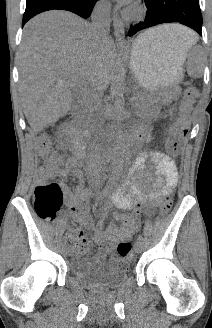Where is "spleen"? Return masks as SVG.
Returning <instances> with one entry per match:
<instances>
[{"label":"spleen","instance_id":"spleen-1","mask_svg":"<svg viewBox=\"0 0 212 328\" xmlns=\"http://www.w3.org/2000/svg\"><path fill=\"white\" fill-rule=\"evenodd\" d=\"M146 33H147V32H145V33L139 35V36L137 37V39L135 40V42H140L141 39H142L143 37H145V38H151V36L147 35ZM194 42H195V41H190V42L186 45V47L184 48V50H183V52H184V60L186 59V56H187V52H188V50H189L190 47L194 44Z\"/></svg>","mask_w":212,"mask_h":328}]
</instances>
